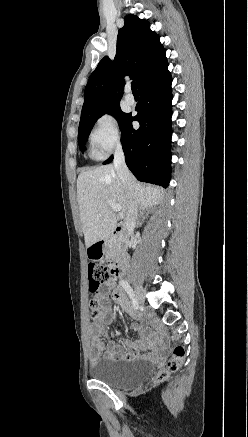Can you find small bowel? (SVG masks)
<instances>
[{
	"instance_id": "small-bowel-1",
	"label": "small bowel",
	"mask_w": 248,
	"mask_h": 437,
	"mask_svg": "<svg viewBox=\"0 0 248 437\" xmlns=\"http://www.w3.org/2000/svg\"><path fill=\"white\" fill-rule=\"evenodd\" d=\"M98 293L95 297L100 306L107 311L109 307L108 295L112 294L114 302L126 312L140 317L132 311L131 304L126 297L125 293L118 288V285L113 280H109L105 285H99ZM89 312L94 316V322L90 333L91 340V361L94 363L99 356L104 353L109 359L114 360H130L135 357H147L152 355L156 351V344L153 334L148 332L145 323L140 325L134 324L132 328L140 333L141 338L132 343L123 340L122 344L110 342L108 346L102 340V336L107 337L108 332L106 329V323L109 321V317L106 312L100 313V310L94 307H89ZM141 351H145L141 354Z\"/></svg>"
}]
</instances>
